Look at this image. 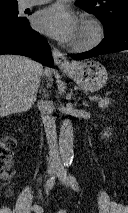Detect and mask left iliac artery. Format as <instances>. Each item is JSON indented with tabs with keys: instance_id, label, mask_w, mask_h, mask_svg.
<instances>
[{
	"instance_id": "44dca946",
	"label": "left iliac artery",
	"mask_w": 128,
	"mask_h": 213,
	"mask_svg": "<svg viewBox=\"0 0 128 213\" xmlns=\"http://www.w3.org/2000/svg\"><path fill=\"white\" fill-rule=\"evenodd\" d=\"M68 180H69V183H70L71 187L74 190L78 191L79 190V185H78V182H77L76 178L72 174H69Z\"/></svg>"
}]
</instances>
